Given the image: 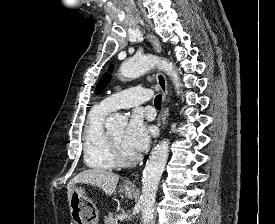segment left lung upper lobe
I'll use <instances>...</instances> for the list:
<instances>
[{"label": "left lung upper lobe", "instance_id": "left-lung-upper-lobe-1", "mask_svg": "<svg viewBox=\"0 0 275 224\" xmlns=\"http://www.w3.org/2000/svg\"><path fill=\"white\" fill-rule=\"evenodd\" d=\"M112 69H113V65H111L108 70L111 72ZM110 80H111V74L105 73L102 76L101 80L99 81V83H98V85L96 87V91H95L96 94H99L108 85V83L110 82Z\"/></svg>", "mask_w": 275, "mask_h": 224}]
</instances>
